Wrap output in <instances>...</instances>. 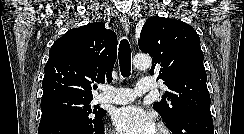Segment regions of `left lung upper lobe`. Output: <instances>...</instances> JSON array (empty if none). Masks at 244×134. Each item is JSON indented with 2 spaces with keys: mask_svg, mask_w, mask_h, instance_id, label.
<instances>
[{
  "mask_svg": "<svg viewBox=\"0 0 244 134\" xmlns=\"http://www.w3.org/2000/svg\"><path fill=\"white\" fill-rule=\"evenodd\" d=\"M139 48L152 58L150 74L159 73L168 87L163 97L170 103L153 105L167 126L188 112L211 116L200 38L190 25L153 16L142 27Z\"/></svg>",
  "mask_w": 244,
  "mask_h": 134,
  "instance_id": "left-lung-upper-lobe-1",
  "label": "left lung upper lobe"
}]
</instances>
